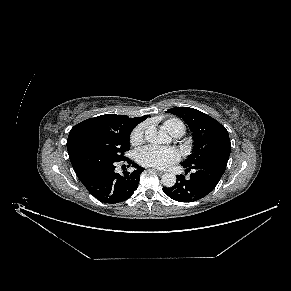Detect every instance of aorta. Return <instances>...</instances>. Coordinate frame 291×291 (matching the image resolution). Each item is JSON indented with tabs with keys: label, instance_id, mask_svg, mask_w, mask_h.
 Wrapping results in <instances>:
<instances>
[{
	"label": "aorta",
	"instance_id": "762f6f07",
	"mask_svg": "<svg viewBox=\"0 0 291 291\" xmlns=\"http://www.w3.org/2000/svg\"><path fill=\"white\" fill-rule=\"evenodd\" d=\"M145 139L152 144H164L170 142V137L163 130H157L154 126L148 127L145 131ZM161 182L165 187H172L176 183V176L173 173L162 175Z\"/></svg>",
	"mask_w": 291,
	"mask_h": 291
}]
</instances>
